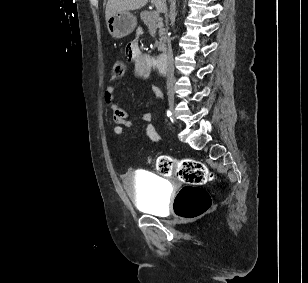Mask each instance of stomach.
<instances>
[{"label":"stomach","instance_id":"obj_1","mask_svg":"<svg viewBox=\"0 0 308 283\" xmlns=\"http://www.w3.org/2000/svg\"><path fill=\"white\" fill-rule=\"evenodd\" d=\"M106 24L109 34L115 39H120L134 31L137 20L129 11H123L108 18Z\"/></svg>","mask_w":308,"mask_h":283}]
</instances>
